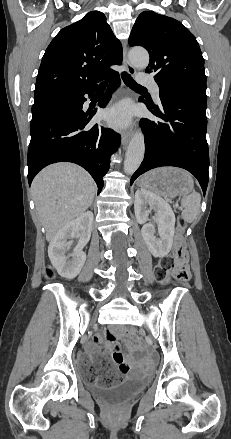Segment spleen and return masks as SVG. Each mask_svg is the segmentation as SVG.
I'll use <instances>...</instances> for the list:
<instances>
[{"mask_svg":"<svg viewBox=\"0 0 231 439\" xmlns=\"http://www.w3.org/2000/svg\"><path fill=\"white\" fill-rule=\"evenodd\" d=\"M200 203L201 196L195 191L181 200V204L184 207L182 218L185 222L191 223L196 219L200 210Z\"/></svg>","mask_w":231,"mask_h":439,"instance_id":"obj_1","label":"spleen"}]
</instances>
